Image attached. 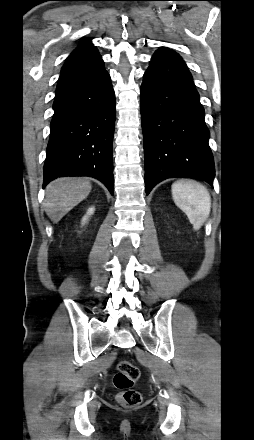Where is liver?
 Wrapping results in <instances>:
<instances>
[{
  "mask_svg": "<svg viewBox=\"0 0 254 440\" xmlns=\"http://www.w3.org/2000/svg\"><path fill=\"white\" fill-rule=\"evenodd\" d=\"M91 189V183L85 178L63 177L52 181L46 187L45 206L48 216L57 223L83 201Z\"/></svg>",
  "mask_w": 254,
  "mask_h": 440,
  "instance_id": "6515ba94",
  "label": "liver"
}]
</instances>
